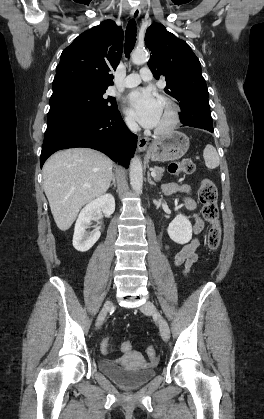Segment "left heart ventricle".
I'll list each match as a JSON object with an SVG mask.
<instances>
[{"mask_svg":"<svg viewBox=\"0 0 264 419\" xmlns=\"http://www.w3.org/2000/svg\"><path fill=\"white\" fill-rule=\"evenodd\" d=\"M167 115H168V108L166 107L165 104L160 102V117H159L157 127H159V126H161L165 123V121L167 119Z\"/></svg>","mask_w":264,"mask_h":419,"instance_id":"obj_1","label":"left heart ventricle"}]
</instances>
